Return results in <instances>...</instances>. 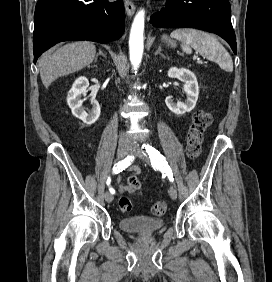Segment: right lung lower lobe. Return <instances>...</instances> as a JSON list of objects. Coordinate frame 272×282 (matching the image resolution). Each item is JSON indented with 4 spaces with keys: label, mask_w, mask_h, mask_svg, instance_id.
I'll return each instance as SVG.
<instances>
[{
    "label": "right lung lower lobe",
    "mask_w": 272,
    "mask_h": 282,
    "mask_svg": "<svg viewBox=\"0 0 272 282\" xmlns=\"http://www.w3.org/2000/svg\"><path fill=\"white\" fill-rule=\"evenodd\" d=\"M124 19L122 0H38L34 14V63L44 51L62 41L117 40L124 32Z\"/></svg>",
    "instance_id": "1"
}]
</instances>
